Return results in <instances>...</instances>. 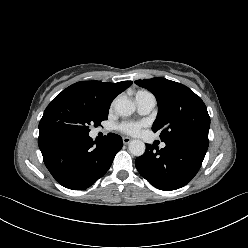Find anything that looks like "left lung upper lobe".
<instances>
[{
    "label": "left lung upper lobe",
    "mask_w": 248,
    "mask_h": 248,
    "mask_svg": "<svg viewBox=\"0 0 248 248\" xmlns=\"http://www.w3.org/2000/svg\"><path fill=\"white\" fill-rule=\"evenodd\" d=\"M151 91L158 103V115L152 126L163 142L178 139L208 140L210 117L201 98L183 84L165 78L137 80Z\"/></svg>",
    "instance_id": "5c2ea615"
}]
</instances>
